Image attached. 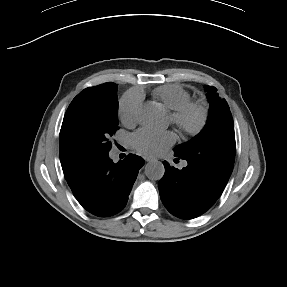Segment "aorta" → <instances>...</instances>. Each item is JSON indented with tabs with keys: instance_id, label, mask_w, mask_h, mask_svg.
<instances>
[{
	"instance_id": "aorta-1",
	"label": "aorta",
	"mask_w": 287,
	"mask_h": 287,
	"mask_svg": "<svg viewBox=\"0 0 287 287\" xmlns=\"http://www.w3.org/2000/svg\"><path fill=\"white\" fill-rule=\"evenodd\" d=\"M164 173L165 168L160 161L150 162L145 167V174L151 180H160Z\"/></svg>"
}]
</instances>
